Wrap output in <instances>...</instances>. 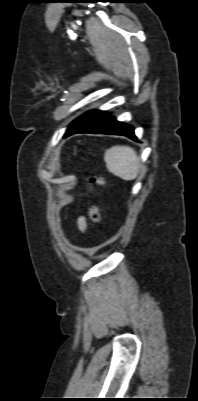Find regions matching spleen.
<instances>
[{
  "label": "spleen",
  "instance_id": "obj_1",
  "mask_svg": "<svg viewBox=\"0 0 198 401\" xmlns=\"http://www.w3.org/2000/svg\"><path fill=\"white\" fill-rule=\"evenodd\" d=\"M106 167L115 176L123 180H134L139 172L140 159L129 146H113L105 151Z\"/></svg>",
  "mask_w": 198,
  "mask_h": 401
}]
</instances>
